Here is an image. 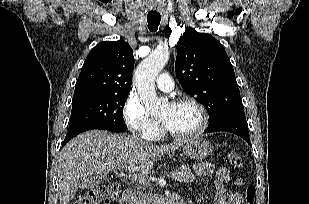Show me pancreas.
<instances>
[{
	"label": "pancreas",
	"instance_id": "1",
	"mask_svg": "<svg viewBox=\"0 0 309 204\" xmlns=\"http://www.w3.org/2000/svg\"><path fill=\"white\" fill-rule=\"evenodd\" d=\"M173 178H175L177 181L180 182H192L195 180V176L193 175V173L191 172L190 168L187 167L185 169L182 168H176L173 171ZM148 181H146L145 183H143V186L147 185Z\"/></svg>",
	"mask_w": 309,
	"mask_h": 204
}]
</instances>
